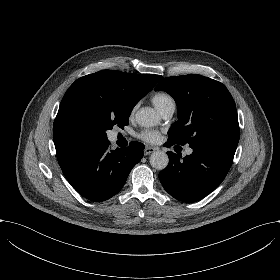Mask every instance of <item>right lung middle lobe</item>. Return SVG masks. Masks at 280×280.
<instances>
[{
    "label": "right lung middle lobe",
    "instance_id": "dd1d6c3e",
    "mask_svg": "<svg viewBox=\"0 0 280 280\" xmlns=\"http://www.w3.org/2000/svg\"><path fill=\"white\" fill-rule=\"evenodd\" d=\"M131 111L117 108H102L97 110L92 116V124L98 134L100 142H106L107 130H111L114 125L124 128L129 123Z\"/></svg>",
    "mask_w": 280,
    "mask_h": 280
}]
</instances>
